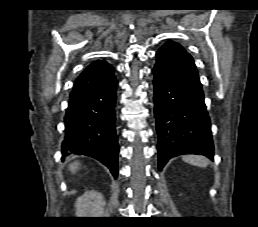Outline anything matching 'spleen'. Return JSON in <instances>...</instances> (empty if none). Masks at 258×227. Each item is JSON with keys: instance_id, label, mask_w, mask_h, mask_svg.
<instances>
[{"instance_id": "1", "label": "spleen", "mask_w": 258, "mask_h": 227, "mask_svg": "<svg viewBox=\"0 0 258 227\" xmlns=\"http://www.w3.org/2000/svg\"><path fill=\"white\" fill-rule=\"evenodd\" d=\"M183 160L191 165H195L199 167H206L209 164V161L207 158L203 156H197V155L183 156Z\"/></svg>"}]
</instances>
